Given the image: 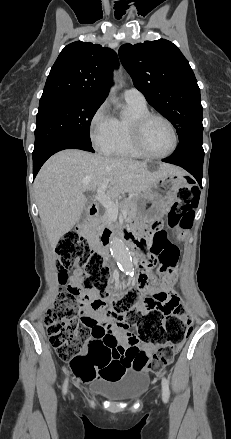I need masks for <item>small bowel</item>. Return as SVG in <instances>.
<instances>
[{
    "mask_svg": "<svg viewBox=\"0 0 231 439\" xmlns=\"http://www.w3.org/2000/svg\"><path fill=\"white\" fill-rule=\"evenodd\" d=\"M130 237L136 241V236L130 233ZM139 247H143L144 243L136 242ZM149 259L157 257L160 252L176 248V246L169 240L164 230H158L151 235ZM144 266H148L150 261L143 259ZM164 278L157 282L152 280L155 284L154 291L146 292V299L143 305V312L152 308L161 307L163 309H171L178 301L179 295L174 290V283L176 275L174 266L169 269ZM82 276L80 273H75L72 282L69 285L70 291H77L78 297L83 302L84 306L81 310V318L89 323L92 332V345L104 344L111 348L116 353H120V358L126 360L129 354L133 351L146 352L148 349L141 344L138 336L128 330V326L119 318H117L105 305L92 306L94 296L81 289ZM120 287L118 283L114 284V291L112 296L119 294ZM119 332V334H117ZM133 368L132 363L127 369Z\"/></svg>",
    "mask_w": 231,
    "mask_h": 439,
    "instance_id": "obj_1",
    "label": "small bowel"
}]
</instances>
